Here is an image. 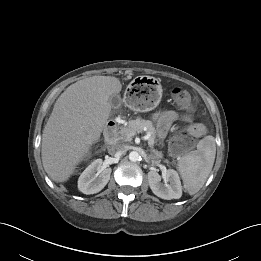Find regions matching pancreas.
Instances as JSON below:
<instances>
[{
    "label": "pancreas",
    "mask_w": 261,
    "mask_h": 261,
    "mask_svg": "<svg viewBox=\"0 0 261 261\" xmlns=\"http://www.w3.org/2000/svg\"><path fill=\"white\" fill-rule=\"evenodd\" d=\"M143 131H146V133L149 135L148 142L151 143L150 148L153 152V155L151 157L153 159H159L163 157V154L160 151H157L153 148L154 144L156 143V130L153 126V123L149 120H144L141 118H137L135 120H131L128 122L126 126L121 127L119 130L120 139L122 141H131V137H128V133H141Z\"/></svg>",
    "instance_id": "1"
}]
</instances>
